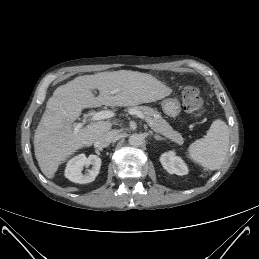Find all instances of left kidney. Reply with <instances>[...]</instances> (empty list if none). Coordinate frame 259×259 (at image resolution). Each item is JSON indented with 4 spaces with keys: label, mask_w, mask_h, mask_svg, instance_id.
<instances>
[{
    "label": "left kidney",
    "mask_w": 259,
    "mask_h": 259,
    "mask_svg": "<svg viewBox=\"0 0 259 259\" xmlns=\"http://www.w3.org/2000/svg\"><path fill=\"white\" fill-rule=\"evenodd\" d=\"M160 162L167 172L177 175H186L188 168L184 161L175 155L174 151L163 153L160 157Z\"/></svg>",
    "instance_id": "obj_1"
}]
</instances>
